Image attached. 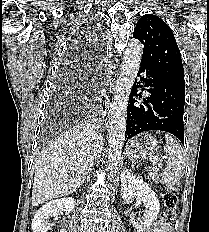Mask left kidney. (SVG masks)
<instances>
[{"label": "left kidney", "mask_w": 209, "mask_h": 232, "mask_svg": "<svg viewBox=\"0 0 209 232\" xmlns=\"http://www.w3.org/2000/svg\"><path fill=\"white\" fill-rule=\"evenodd\" d=\"M121 195L124 200L129 202L134 196L139 203H143L146 211L142 221H137L134 217L131 218V223L137 229V232H145L151 224L157 220V215L160 210V203L155 192L129 170H123L121 173Z\"/></svg>", "instance_id": "5707ae66"}]
</instances>
